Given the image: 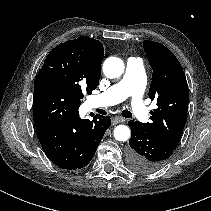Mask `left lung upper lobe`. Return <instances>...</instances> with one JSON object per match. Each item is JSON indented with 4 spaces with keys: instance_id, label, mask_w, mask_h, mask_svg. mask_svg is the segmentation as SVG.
<instances>
[{
    "instance_id": "obj_1",
    "label": "left lung upper lobe",
    "mask_w": 211,
    "mask_h": 211,
    "mask_svg": "<svg viewBox=\"0 0 211 211\" xmlns=\"http://www.w3.org/2000/svg\"><path fill=\"white\" fill-rule=\"evenodd\" d=\"M144 51L153 69L149 98L157 100L150 111L151 121L143 123L154 135L176 148L187 120L189 90L182 66L161 43L143 41Z\"/></svg>"
}]
</instances>
